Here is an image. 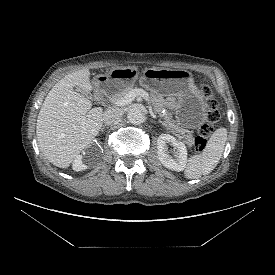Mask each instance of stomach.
<instances>
[{"instance_id":"stomach-1","label":"stomach","mask_w":275,"mask_h":275,"mask_svg":"<svg viewBox=\"0 0 275 275\" xmlns=\"http://www.w3.org/2000/svg\"><path fill=\"white\" fill-rule=\"evenodd\" d=\"M138 79L142 86L151 91L178 97L176 120L180 125L197 128L205 121L206 102L190 71L147 68L140 75L136 67H117L107 74L97 75L93 83L97 91L115 94L132 87Z\"/></svg>"}]
</instances>
